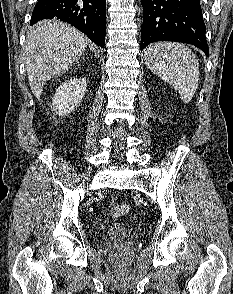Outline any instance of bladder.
I'll return each mask as SVG.
<instances>
[{
  "label": "bladder",
  "mask_w": 233,
  "mask_h": 294,
  "mask_svg": "<svg viewBox=\"0 0 233 294\" xmlns=\"http://www.w3.org/2000/svg\"><path fill=\"white\" fill-rule=\"evenodd\" d=\"M128 233L127 228L121 224H114L108 229V235L112 239L124 238Z\"/></svg>",
  "instance_id": "obj_1"
}]
</instances>
